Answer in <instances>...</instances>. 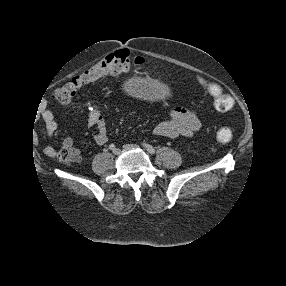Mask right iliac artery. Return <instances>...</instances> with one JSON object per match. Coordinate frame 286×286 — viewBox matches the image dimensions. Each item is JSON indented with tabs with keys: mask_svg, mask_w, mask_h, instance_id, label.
I'll return each mask as SVG.
<instances>
[{
	"mask_svg": "<svg viewBox=\"0 0 286 286\" xmlns=\"http://www.w3.org/2000/svg\"><path fill=\"white\" fill-rule=\"evenodd\" d=\"M109 149L114 150L115 149V145L114 144H110L109 145Z\"/></svg>",
	"mask_w": 286,
	"mask_h": 286,
	"instance_id": "1",
	"label": "right iliac artery"
}]
</instances>
